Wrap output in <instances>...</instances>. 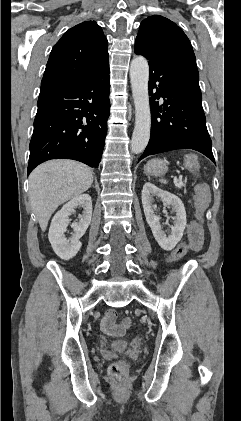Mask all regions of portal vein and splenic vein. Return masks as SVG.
Returning <instances> with one entry per match:
<instances>
[{
  "label": "portal vein and splenic vein",
  "mask_w": 241,
  "mask_h": 421,
  "mask_svg": "<svg viewBox=\"0 0 241 421\" xmlns=\"http://www.w3.org/2000/svg\"><path fill=\"white\" fill-rule=\"evenodd\" d=\"M173 179L178 188H181L183 185V181L181 179H178L176 176Z\"/></svg>",
  "instance_id": "1"
}]
</instances>
